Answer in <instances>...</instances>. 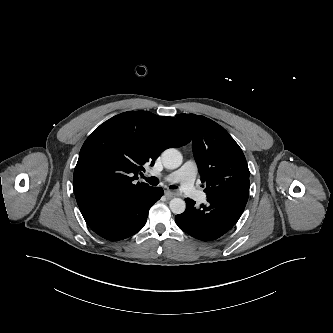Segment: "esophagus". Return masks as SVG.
Listing matches in <instances>:
<instances>
[{"label":"esophagus","instance_id":"obj_1","mask_svg":"<svg viewBox=\"0 0 333 333\" xmlns=\"http://www.w3.org/2000/svg\"><path fill=\"white\" fill-rule=\"evenodd\" d=\"M176 196H177V193H175V192H172L170 190L165 191V197L167 199H171V198L176 197Z\"/></svg>","mask_w":333,"mask_h":333}]
</instances>
